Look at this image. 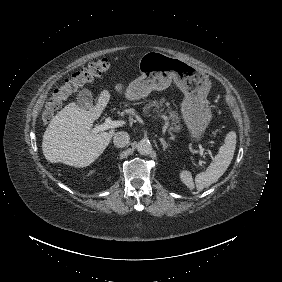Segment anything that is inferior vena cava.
Wrapping results in <instances>:
<instances>
[{
    "instance_id": "obj_1",
    "label": "inferior vena cava",
    "mask_w": 282,
    "mask_h": 282,
    "mask_svg": "<svg viewBox=\"0 0 282 282\" xmlns=\"http://www.w3.org/2000/svg\"><path fill=\"white\" fill-rule=\"evenodd\" d=\"M129 142V134L125 131H119L114 136V145L117 147H124Z\"/></svg>"
}]
</instances>
